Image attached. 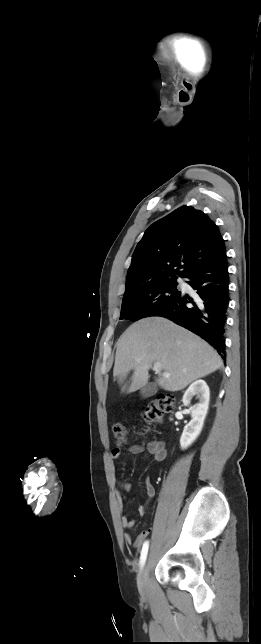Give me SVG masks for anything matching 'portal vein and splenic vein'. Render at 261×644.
<instances>
[{
	"label": "portal vein and splenic vein",
	"mask_w": 261,
	"mask_h": 644,
	"mask_svg": "<svg viewBox=\"0 0 261 644\" xmlns=\"http://www.w3.org/2000/svg\"><path fill=\"white\" fill-rule=\"evenodd\" d=\"M153 369L155 370L156 373H160V371H161V363L155 362L154 366H153ZM163 376L168 378V377H170V374L164 372Z\"/></svg>",
	"instance_id": "portal-vein-and-splenic-vein-1"
}]
</instances>
